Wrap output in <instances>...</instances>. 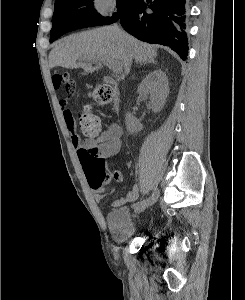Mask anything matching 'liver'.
<instances>
[{"label": "liver", "mask_w": 245, "mask_h": 300, "mask_svg": "<svg viewBox=\"0 0 245 300\" xmlns=\"http://www.w3.org/2000/svg\"><path fill=\"white\" fill-rule=\"evenodd\" d=\"M156 56L155 47L137 40L117 26H107L70 35L59 41L49 54V66L82 68L92 73L102 68L103 60H110L117 62L128 74L133 59L141 63ZM94 61L98 63L93 67L91 62Z\"/></svg>", "instance_id": "1"}]
</instances>
